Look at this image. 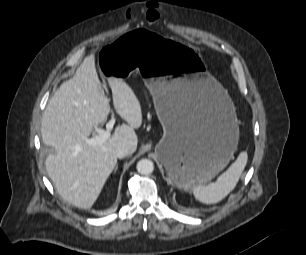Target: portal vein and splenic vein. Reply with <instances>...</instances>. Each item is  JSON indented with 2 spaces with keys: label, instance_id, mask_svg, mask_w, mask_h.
<instances>
[{
  "label": "portal vein and splenic vein",
  "instance_id": "18ae733b",
  "mask_svg": "<svg viewBox=\"0 0 306 255\" xmlns=\"http://www.w3.org/2000/svg\"><path fill=\"white\" fill-rule=\"evenodd\" d=\"M115 120L116 119L112 117V119L106 124V130L95 128L97 135L93 138L87 139L86 143L90 146L101 145L104 143L111 136V130L113 129Z\"/></svg>",
  "mask_w": 306,
  "mask_h": 255
}]
</instances>
